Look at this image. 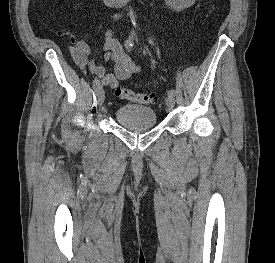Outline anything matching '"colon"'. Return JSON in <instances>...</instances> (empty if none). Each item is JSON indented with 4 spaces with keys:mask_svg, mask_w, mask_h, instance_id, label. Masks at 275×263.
<instances>
[{
    "mask_svg": "<svg viewBox=\"0 0 275 263\" xmlns=\"http://www.w3.org/2000/svg\"><path fill=\"white\" fill-rule=\"evenodd\" d=\"M115 95L123 100L132 101L141 105H151L156 103V96L152 93L135 92L127 87L118 86Z\"/></svg>",
    "mask_w": 275,
    "mask_h": 263,
    "instance_id": "colon-1",
    "label": "colon"
}]
</instances>
